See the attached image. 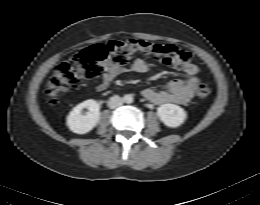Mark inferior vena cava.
Here are the masks:
<instances>
[{
	"label": "inferior vena cava",
	"instance_id": "1",
	"mask_svg": "<svg viewBox=\"0 0 260 205\" xmlns=\"http://www.w3.org/2000/svg\"><path fill=\"white\" fill-rule=\"evenodd\" d=\"M123 104V99L117 95L111 97L108 101V106L111 109H115L120 107Z\"/></svg>",
	"mask_w": 260,
	"mask_h": 205
}]
</instances>
